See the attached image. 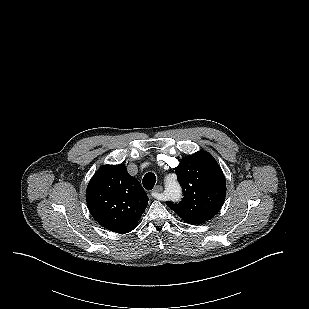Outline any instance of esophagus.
I'll use <instances>...</instances> for the list:
<instances>
[{
  "instance_id": "esophagus-1",
  "label": "esophagus",
  "mask_w": 309,
  "mask_h": 309,
  "mask_svg": "<svg viewBox=\"0 0 309 309\" xmlns=\"http://www.w3.org/2000/svg\"><path fill=\"white\" fill-rule=\"evenodd\" d=\"M163 191L162 186H156L152 191V196L156 199H161V192Z\"/></svg>"
}]
</instances>
